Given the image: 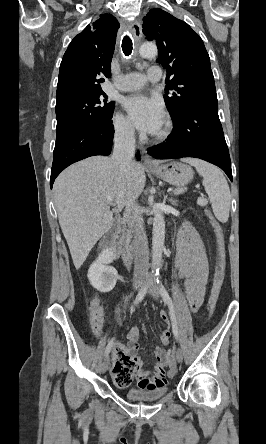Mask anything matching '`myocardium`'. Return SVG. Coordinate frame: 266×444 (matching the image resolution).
<instances>
[{
	"label": "myocardium",
	"mask_w": 266,
	"mask_h": 444,
	"mask_svg": "<svg viewBox=\"0 0 266 444\" xmlns=\"http://www.w3.org/2000/svg\"><path fill=\"white\" fill-rule=\"evenodd\" d=\"M170 132H171L170 126L166 124L164 128L158 133H156V135L154 136L155 141L159 142L165 140L169 136Z\"/></svg>",
	"instance_id": "obj_1"
}]
</instances>
